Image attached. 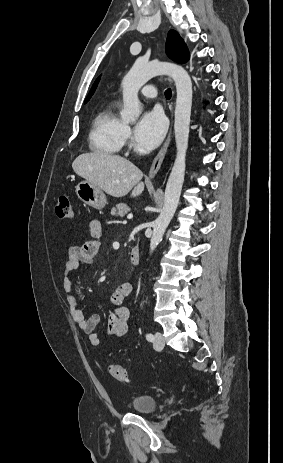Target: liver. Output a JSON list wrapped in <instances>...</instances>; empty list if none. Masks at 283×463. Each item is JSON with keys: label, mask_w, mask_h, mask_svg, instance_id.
I'll return each mask as SVG.
<instances>
[{"label": "liver", "mask_w": 283, "mask_h": 463, "mask_svg": "<svg viewBox=\"0 0 283 463\" xmlns=\"http://www.w3.org/2000/svg\"><path fill=\"white\" fill-rule=\"evenodd\" d=\"M72 168L77 175L113 197H123L130 191L131 197H137L144 190L142 171L119 155L103 152L81 154L72 163Z\"/></svg>", "instance_id": "6515ba94"}]
</instances>
